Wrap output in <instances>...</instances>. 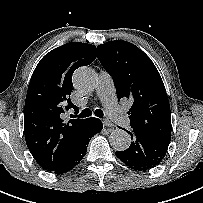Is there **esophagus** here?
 Returning <instances> with one entry per match:
<instances>
[{"label":"esophagus","mask_w":203,"mask_h":203,"mask_svg":"<svg viewBox=\"0 0 203 203\" xmlns=\"http://www.w3.org/2000/svg\"><path fill=\"white\" fill-rule=\"evenodd\" d=\"M102 123H103V125H104L105 127H110V128H112V127L114 126L113 123H112L111 121H109L108 119H103Z\"/></svg>","instance_id":"1"}]
</instances>
